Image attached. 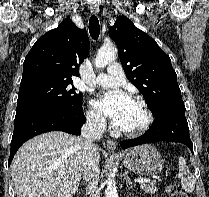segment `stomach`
<instances>
[{
    "label": "stomach",
    "mask_w": 209,
    "mask_h": 197,
    "mask_svg": "<svg viewBox=\"0 0 209 197\" xmlns=\"http://www.w3.org/2000/svg\"><path fill=\"white\" fill-rule=\"evenodd\" d=\"M122 157L124 166L140 175H154L164 167L160 153L149 144L131 148Z\"/></svg>",
    "instance_id": "0dacf381"
}]
</instances>
